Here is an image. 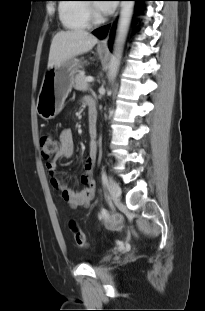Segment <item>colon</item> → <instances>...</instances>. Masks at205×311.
<instances>
[{"label": "colon", "mask_w": 205, "mask_h": 311, "mask_svg": "<svg viewBox=\"0 0 205 311\" xmlns=\"http://www.w3.org/2000/svg\"><path fill=\"white\" fill-rule=\"evenodd\" d=\"M42 158L48 162L59 151L60 142L51 135H43L40 140ZM69 229L73 235L76 245L80 248L87 247V241L84 232L75 220H70Z\"/></svg>", "instance_id": "obj_1"}]
</instances>
